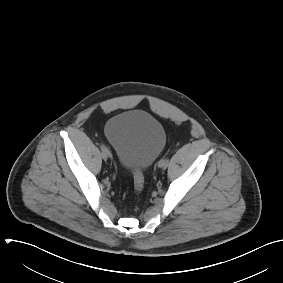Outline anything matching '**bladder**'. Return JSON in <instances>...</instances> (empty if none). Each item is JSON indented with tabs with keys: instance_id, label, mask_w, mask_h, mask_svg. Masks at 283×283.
I'll use <instances>...</instances> for the list:
<instances>
[{
	"instance_id": "31cf9c89",
	"label": "bladder",
	"mask_w": 283,
	"mask_h": 283,
	"mask_svg": "<svg viewBox=\"0 0 283 283\" xmlns=\"http://www.w3.org/2000/svg\"><path fill=\"white\" fill-rule=\"evenodd\" d=\"M105 135L119 163L127 169L144 170L160 155L166 133L162 124L141 110H131L112 117Z\"/></svg>"
}]
</instances>
